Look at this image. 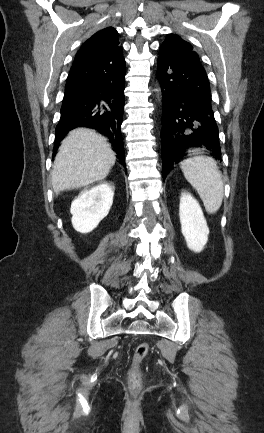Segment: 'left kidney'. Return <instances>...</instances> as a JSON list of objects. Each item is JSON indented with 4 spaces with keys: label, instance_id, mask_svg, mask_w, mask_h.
Returning a JSON list of instances; mask_svg holds the SVG:
<instances>
[{
    "label": "left kidney",
    "instance_id": "1",
    "mask_svg": "<svg viewBox=\"0 0 264 433\" xmlns=\"http://www.w3.org/2000/svg\"><path fill=\"white\" fill-rule=\"evenodd\" d=\"M179 217L187 247L201 252L208 241L209 228L199 203L188 192L181 193Z\"/></svg>",
    "mask_w": 264,
    "mask_h": 433
}]
</instances>
